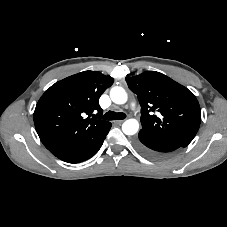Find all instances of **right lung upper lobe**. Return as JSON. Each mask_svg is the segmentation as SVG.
I'll list each match as a JSON object with an SVG mask.
<instances>
[{
  "label": "right lung upper lobe",
  "instance_id": "cb5924a9",
  "mask_svg": "<svg viewBox=\"0 0 227 227\" xmlns=\"http://www.w3.org/2000/svg\"><path fill=\"white\" fill-rule=\"evenodd\" d=\"M113 81L98 71H83L45 91L36 105L34 124L53 155L84 147L110 126V122L92 117H96L94 113L102 115L99 98Z\"/></svg>",
  "mask_w": 227,
  "mask_h": 227
}]
</instances>
